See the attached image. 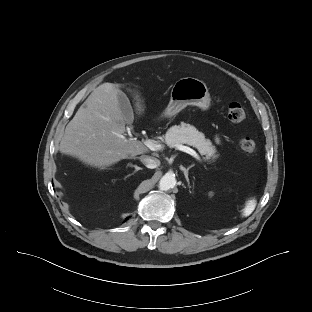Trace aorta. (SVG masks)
<instances>
[{
  "label": "aorta",
  "instance_id": "1",
  "mask_svg": "<svg viewBox=\"0 0 312 312\" xmlns=\"http://www.w3.org/2000/svg\"><path fill=\"white\" fill-rule=\"evenodd\" d=\"M176 185V179L171 174H165L159 182V189L161 191H168L172 188H174Z\"/></svg>",
  "mask_w": 312,
  "mask_h": 312
}]
</instances>
